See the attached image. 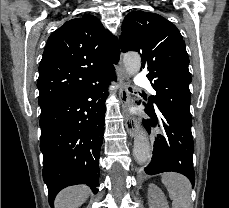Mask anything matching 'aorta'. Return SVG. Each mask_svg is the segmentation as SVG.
<instances>
[{
  "mask_svg": "<svg viewBox=\"0 0 229 208\" xmlns=\"http://www.w3.org/2000/svg\"><path fill=\"white\" fill-rule=\"evenodd\" d=\"M123 63L130 76L137 74L141 67V59L137 53L124 55ZM133 154L139 164H145L150 159V144L142 131L134 139Z\"/></svg>",
  "mask_w": 229,
  "mask_h": 208,
  "instance_id": "762f6f07",
  "label": "aorta"
}]
</instances>
